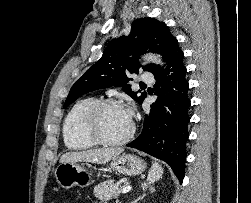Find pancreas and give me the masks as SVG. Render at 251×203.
<instances>
[{
	"label": "pancreas",
	"instance_id": "pancreas-1",
	"mask_svg": "<svg viewBox=\"0 0 251 203\" xmlns=\"http://www.w3.org/2000/svg\"><path fill=\"white\" fill-rule=\"evenodd\" d=\"M121 189L114 183V180H106L98 184L94 188V195L101 201H107L117 197Z\"/></svg>",
	"mask_w": 251,
	"mask_h": 203
}]
</instances>
